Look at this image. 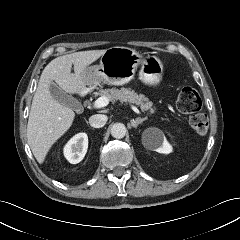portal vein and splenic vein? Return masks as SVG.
Listing matches in <instances>:
<instances>
[{
    "instance_id": "portal-vein-and-splenic-vein-1",
    "label": "portal vein and splenic vein",
    "mask_w": 240,
    "mask_h": 240,
    "mask_svg": "<svg viewBox=\"0 0 240 240\" xmlns=\"http://www.w3.org/2000/svg\"><path fill=\"white\" fill-rule=\"evenodd\" d=\"M109 98L106 97V96H101L99 97L93 104V107L96 108V109H99V108H103L105 106H107L109 104ZM131 109L137 113V114H140V111L135 107V106H131Z\"/></svg>"
}]
</instances>
